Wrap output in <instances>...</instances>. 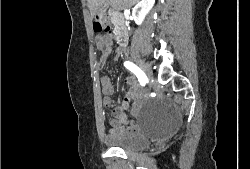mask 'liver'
Returning a JSON list of instances; mask_svg holds the SVG:
<instances>
[{
	"label": "liver",
	"mask_w": 250,
	"mask_h": 169,
	"mask_svg": "<svg viewBox=\"0 0 250 169\" xmlns=\"http://www.w3.org/2000/svg\"><path fill=\"white\" fill-rule=\"evenodd\" d=\"M88 8L93 16L100 8H107V6H113L117 10H123V8H130L133 4H136L138 0H87Z\"/></svg>",
	"instance_id": "1"
}]
</instances>
